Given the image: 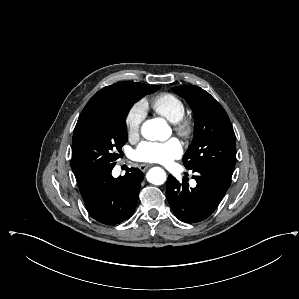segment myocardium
Segmentation results:
<instances>
[{"instance_id": "obj_1", "label": "myocardium", "mask_w": 299, "mask_h": 299, "mask_svg": "<svg viewBox=\"0 0 299 299\" xmlns=\"http://www.w3.org/2000/svg\"><path fill=\"white\" fill-rule=\"evenodd\" d=\"M174 126L176 133L185 140L190 139L194 134V120L185 114L179 121L174 123Z\"/></svg>"}]
</instances>
